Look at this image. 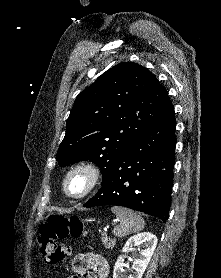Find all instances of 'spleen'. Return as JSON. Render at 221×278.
Returning <instances> with one entry per match:
<instances>
[{
    "label": "spleen",
    "instance_id": "3e777b00",
    "mask_svg": "<svg viewBox=\"0 0 221 278\" xmlns=\"http://www.w3.org/2000/svg\"><path fill=\"white\" fill-rule=\"evenodd\" d=\"M111 211L120 221V224L113 230L115 236L124 237L144 229L145 221L136 212L119 206H113Z\"/></svg>",
    "mask_w": 221,
    "mask_h": 278
}]
</instances>
